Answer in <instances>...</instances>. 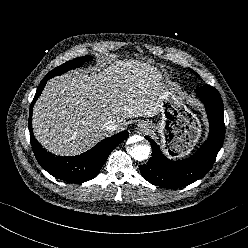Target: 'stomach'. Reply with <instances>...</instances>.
<instances>
[{
	"label": "stomach",
	"mask_w": 248,
	"mask_h": 248,
	"mask_svg": "<svg viewBox=\"0 0 248 248\" xmlns=\"http://www.w3.org/2000/svg\"><path fill=\"white\" fill-rule=\"evenodd\" d=\"M160 113L159 123L151 124V130L158 132L169 156L185 157L201 136L199 119L172 90H166V96L161 100Z\"/></svg>",
	"instance_id": "stomach-1"
}]
</instances>
